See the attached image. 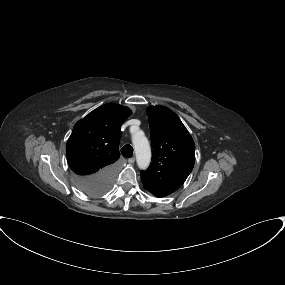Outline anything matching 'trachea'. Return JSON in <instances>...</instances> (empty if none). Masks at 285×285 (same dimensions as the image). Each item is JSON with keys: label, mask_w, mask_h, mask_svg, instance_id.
Instances as JSON below:
<instances>
[{"label": "trachea", "mask_w": 285, "mask_h": 285, "mask_svg": "<svg viewBox=\"0 0 285 285\" xmlns=\"http://www.w3.org/2000/svg\"><path fill=\"white\" fill-rule=\"evenodd\" d=\"M121 153L125 158H130L133 155V147L129 144H126L122 147Z\"/></svg>", "instance_id": "3493384b"}]
</instances>
